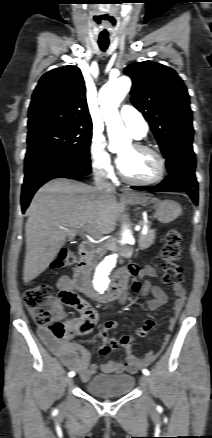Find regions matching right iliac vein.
Masks as SVG:
<instances>
[{"label":"right iliac vein","instance_id":"63e3f726","mask_svg":"<svg viewBox=\"0 0 212 438\" xmlns=\"http://www.w3.org/2000/svg\"><path fill=\"white\" fill-rule=\"evenodd\" d=\"M73 379L72 378H68L67 380H66V383H67V385L68 386H71L72 384H73Z\"/></svg>","mask_w":212,"mask_h":438}]
</instances>
